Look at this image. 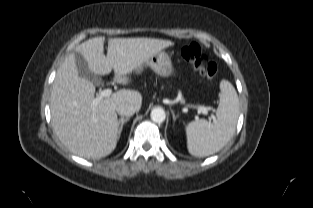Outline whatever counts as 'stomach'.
<instances>
[{"mask_svg":"<svg viewBox=\"0 0 313 208\" xmlns=\"http://www.w3.org/2000/svg\"><path fill=\"white\" fill-rule=\"evenodd\" d=\"M145 63L156 74L162 77H170L176 75V71L172 65L171 59L164 51H160L154 54ZM141 71L142 67L140 66L137 68V72L140 73Z\"/></svg>","mask_w":313,"mask_h":208,"instance_id":"obj_1","label":"stomach"}]
</instances>
